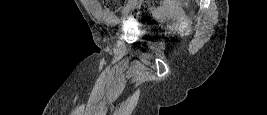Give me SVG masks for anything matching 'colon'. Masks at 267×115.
I'll return each mask as SVG.
<instances>
[{"label": "colon", "mask_w": 267, "mask_h": 115, "mask_svg": "<svg viewBox=\"0 0 267 115\" xmlns=\"http://www.w3.org/2000/svg\"><path fill=\"white\" fill-rule=\"evenodd\" d=\"M103 4L108 12L119 13L125 4V0H103ZM161 4L162 0H141L131 11L130 17L139 20H147L150 17L151 10Z\"/></svg>", "instance_id": "1"}]
</instances>
